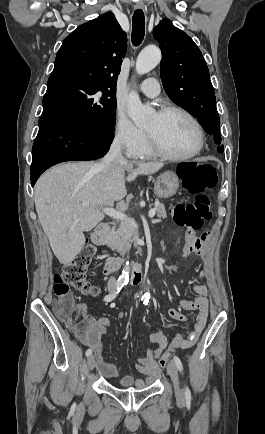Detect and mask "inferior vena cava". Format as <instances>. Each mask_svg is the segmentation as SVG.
Returning <instances> with one entry per match:
<instances>
[{"instance_id":"obj_1","label":"inferior vena cava","mask_w":265,"mask_h":434,"mask_svg":"<svg viewBox=\"0 0 265 434\" xmlns=\"http://www.w3.org/2000/svg\"><path fill=\"white\" fill-rule=\"evenodd\" d=\"M121 150V140L115 138L108 154H106L105 158L98 164V168H100V170H109V168H114L117 164H127V160L122 156ZM109 282L110 284H116L115 278H110Z\"/></svg>"}]
</instances>
